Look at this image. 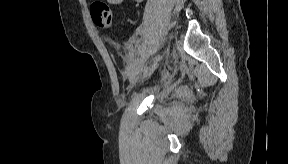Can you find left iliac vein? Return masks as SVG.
<instances>
[{"label":"left iliac vein","mask_w":288,"mask_h":164,"mask_svg":"<svg viewBox=\"0 0 288 164\" xmlns=\"http://www.w3.org/2000/svg\"><path fill=\"white\" fill-rule=\"evenodd\" d=\"M138 76H139L138 73H137L136 75H134L133 78H132V81L137 80V79H138Z\"/></svg>","instance_id":"left-iliac-vein-1"}]
</instances>
